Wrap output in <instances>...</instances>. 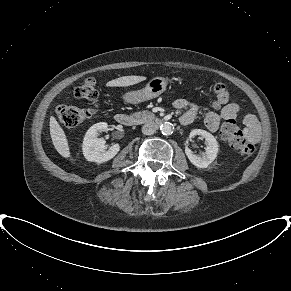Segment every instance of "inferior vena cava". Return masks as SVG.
I'll return each mask as SVG.
<instances>
[{
    "label": "inferior vena cava",
    "mask_w": 291,
    "mask_h": 291,
    "mask_svg": "<svg viewBox=\"0 0 291 291\" xmlns=\"http://www.w3.org/2000/svg\"><path fill=\"white\" fill-rule=\"evenodd\" d=\"M156 131V126L152 122H147L145 125L142 127V133L145 135H152Z\"/></svg>",
    "instance_id": "inferior-vena-cava-1"
}]
</instances>
